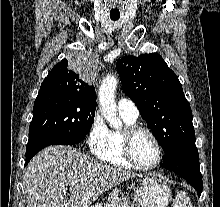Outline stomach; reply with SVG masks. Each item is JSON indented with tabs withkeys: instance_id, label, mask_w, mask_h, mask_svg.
Returning a JSON list of instances; mask_svg holds the SVG:
<instances>
[{
	"instance_id": "obj_1",
	"label": "stomach",
	"mask_w": 220,
	"mask_h": 207,
	"mask_svg": "<svg viewBox=\"0 0 220 207\" xmlns=\"http://www.w3.org/2000/svg\"><path fill=\"white\" fill-rule=\"evenodd\" d=\"M134 199L141 207H168L172 195L163 178L150 174L139 181L134 191Z\"/></svg>"
}]
</instances>
